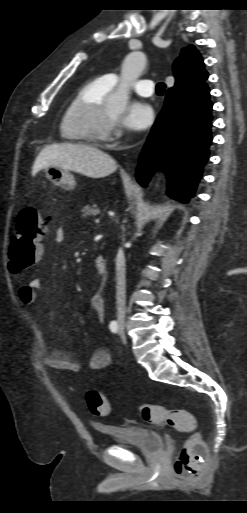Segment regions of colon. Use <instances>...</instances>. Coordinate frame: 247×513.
I'll use <instances>...</instances> for the list:
<instances>
[{
  "label": "colon",
  "mask_w": 247,
  "mask_h": 513,
  "mask_svg": "<svg viewBox=\"0 0 247 513\" xmlns=\"http://www.w3.org/2000/svg\"><path fill=\"white\" fill-rule=\"evenodd\" d=\"M46 230V222L37 209L27 207L20 212L9 248V264L13 273L27 270L42 255L41 242ZM85 400L93 415L104 417L110 413V405L99 391L87 392ZM137 409L147 423L168 424L189 434L174 461L173 470L178 478H195L206 457V448L198 432L195 416L184 409H168L143 403Z\"/></svg>",
  "instance_id": "colon-1"
}]
</instances>
